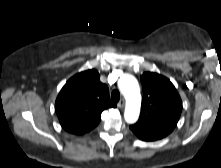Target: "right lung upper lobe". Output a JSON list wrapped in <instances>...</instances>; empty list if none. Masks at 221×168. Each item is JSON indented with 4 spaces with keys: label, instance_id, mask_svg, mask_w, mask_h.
Here are the masks:
<instances>
[{
    "label": "right lung upper lobe",
    "instance_id": "right-lung-upper-lobe-1",
    "mask_svg": "<svg viewBox=\"0 0 221 168\" xmlns=\"http://www.w3.org/2000/svg\"><path fill=\"white\" fill-rule=\"evenodd\" d=\"M116 106L110 100L107 85L100 82V75L94 69L70 78L55 102L61 126L73 134H84L92 130L99 124L101 113Z\"/></svg>",
    "mask_w": 221,
    "mask_h": 168
}]
</instances>
